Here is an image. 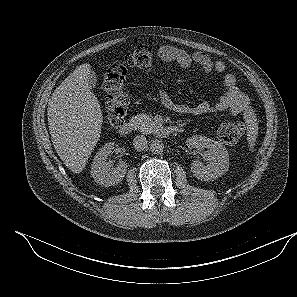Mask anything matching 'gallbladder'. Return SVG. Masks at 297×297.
Returning a JSON list of instances; mask_svg holds the SVG:
<instances>
[{
	"mask_svg": "<svg viewBox=\"0 0 297 297\" xmlns=\"http://www.w3.org/2000/svg\"><path fill=\"white\" fill-rule=\"evenodd\" d=\"M87 82H88L90 89H93L96 86L97 77L93 70H90L88 77H87Z\"/></svg>",
	"mask_w": 297,
	"mask_h": 297,
	"instance_id": "obj_1",
	"label": "gallbladder"
}]
</instances>
